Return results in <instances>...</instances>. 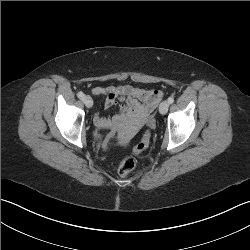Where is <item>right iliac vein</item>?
<instances>
[{"label": "right iliac vein", "mask_w": 250, "mask_h": 250, "mask_svg": "<svg viewBox=\"0 0 250 250\" xmlns=\"http://www.w3.org/2000/svg\"><path fill=\"white\" fill-rule=\"evenodd\" d=\"M83 103L86 105V107L90 108L93 105V100L89 95H85L82 98Z\"/></svg>", "instance_id": "right-iliac-vein-1"}]
</instances>
